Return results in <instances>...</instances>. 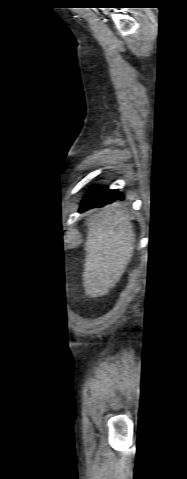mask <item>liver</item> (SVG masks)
<instances>
[{
    "label": "liver",
    "mask_w": 187,
    "mask_h": 479,
    "mask_svg": "<svg viewBox=\"0 0 187 479\" xmlns=\"http://www.w3.org/2000/svg\"><path fill=\"white\" fill-rule=\"evenodd\" d=\"M83 281L92 298L106 295L120 280L134 252L133 225L114 204L97 210L86 219Z\"/></svg>",
    "instance_id": "1"
}]
</instances>
